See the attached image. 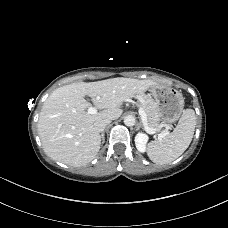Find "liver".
Returning <instances> with one entry per match:
<instances>
[{
    "instance_id": "1",
    "label": "liver",
    "mask_w": 228,
    "mask_h": 228,
    "mask_svg": "<svg viewBox=\"0 0 228 228\" xmlns=\"http://www.w3.org/2000/svg\"><path fill=\"white\" fill-rule=\"evenodd\" d=\"M152 80L111 78L97 82H78L54 90L44 102L38 121V133L45 153L69 166L81 167L99 152L101 135L94 124L100 120L118 119L121 105L133 97H142ZM92 103L102 111L89 114Z\"/></svg>"
}]
</instances>
